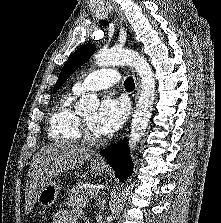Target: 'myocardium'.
I'll use <instances>...</instances> for the list:
<instances>
[{"instance_id":"1","label":"myocardium","mask_w":221,"mask_h":223,"mask_svg":"<svg viewBox=\"0 0 221 223\" xmlns=\"http://www.w3.org/2000/svg\"><path fill=\"white\" fill-rule=\"evenodd\" d=\"M80 137L88 144H101L104 141L103 137L95 133L84 118L80 120Z\"/></svg>"}]
</instances>
